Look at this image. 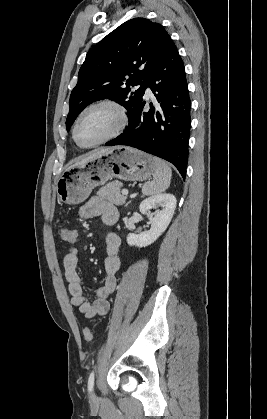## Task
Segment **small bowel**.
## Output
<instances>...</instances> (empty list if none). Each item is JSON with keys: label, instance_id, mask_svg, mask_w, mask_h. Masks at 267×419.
Wrapping results in <instances>:
<instances>
[{"label": "small bowel", "instance_id": "obj_1", "mask_svg": "<svg viewBox=\"0 0 267 419\" xmlns=\"http://www.w3.org/2000/svg\"><path fill=\"white\" fill-rule=\"evenodd\" d=\"M78 215L84 219L100 217L107 226L114 225L119 217L117 208L110 201L99 197H93L84 203L79 208ZM74 244H70L63 259L71 304L78 307L88 319L103 315L109 310L108 299L117 286V272L121 265L118 256L120 237L115 232H110L106 236L107 257L104 261V282L95 290L93 301H89L84 294L82 278L78 272V249Z\"/></svg>", "mask_w": 267, "mask_h": 419}]
</instances>
